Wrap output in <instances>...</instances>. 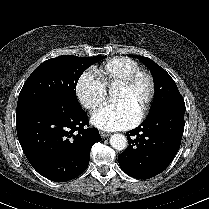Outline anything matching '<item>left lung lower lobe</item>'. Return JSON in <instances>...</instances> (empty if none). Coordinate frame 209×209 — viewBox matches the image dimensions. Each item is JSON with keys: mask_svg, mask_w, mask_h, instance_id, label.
I'll return each instance as SVG.
<instances>
[{"mask_svg": "<svg viewBox=\"0 0 209 209\" xmlns=\"http://www.w3.org/2000/svg\"><path fill=\"white\" fill-rule=\"evenodd\" d=\"M185 109V105L161 108L126 133L129 146L118 155L119 165L126 174L149 179L165 170L180 148Z\"/></svg>", "mask_w": 209, "mask_h": 209, "instance_id": "obj_1", "label": "left lung lower lobe"}]
</instances>
